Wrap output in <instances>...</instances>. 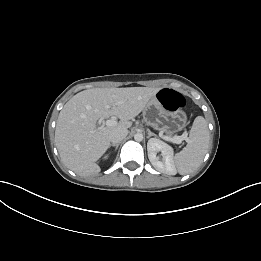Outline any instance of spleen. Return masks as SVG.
I'll list each match as a JSON object with an SVG mask.
<instances>
[{"mask_svg":"<svg viewBox=\"0 0 261 261\" xmlns=\"http://www.w3.org/2000/svg\"><path fill=\"white\" fill-rule=\"evenodd\" d=\"M190 141L183 150L174 157V164L181 175L195 171L203 161L209 147V131L207 122L198 116L190 130Z\"/></svg>","mask_w":261,"mask_h":261,"instance_id":"spleen-1","label":"spleen"}]
</instances>
